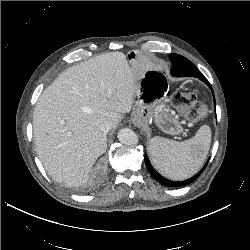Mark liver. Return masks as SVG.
Listing matches in <instances>:
<instances>
[{
	"label": "liver",
	"mask_w": 250,
	"mask_h": 250,
	"mask_svg": "<svg viewBox=\"0 0 250 250\" xmlns=\"http://www.w3.org/2000/svg\"><path fill=\"white\" fill-rule=\"evenodd\" d=\"M130 63V62H129ZM122 52H109L74 65L48 86L33 113L38 157L47 173L68 187L87 182L95 161L107 148L106 133L129 113L144 72Z\"/></svg>",
	"instance_id": "obj_1"
}]
</instances>
